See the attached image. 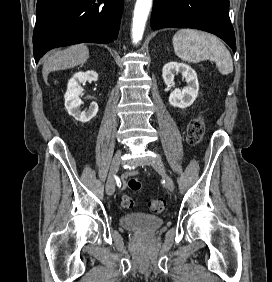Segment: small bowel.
<instances>
[{"mask_svg": "<svg viewBox=\"0 0 272 282\" xmlns=\"http://www.w3.org/2000/svg\"><path fill=\"white\" fill-rule=\"evenodd\" d=\"M131 174H133V172H129V173L123 174V175L121 176L122 187H123V188L126 187L125 182H126L127 178H128Z\"/></svg>", "mask_w": 272, "mask_h": 282, "instance_id": "1", "label": "small bowel"}]
</instances>
